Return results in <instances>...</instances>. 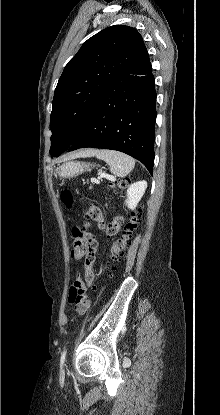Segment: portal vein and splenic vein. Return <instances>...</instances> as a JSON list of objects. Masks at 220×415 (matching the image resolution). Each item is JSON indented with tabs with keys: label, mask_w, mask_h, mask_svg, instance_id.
Masks as SVG:
<instances>
[{
	"label": "portal vein and splenic vein",
	"mask_w": 220,
	"mask_h": 415,
	"mask_svg": "<svg viewBox=\"0 0 220 415\" xmlns=\"http://www.w3.org/2000/svg\"><path fill=\"white\" fill-rule=\"evenodd\" d=\"M100 177H101V178L114 179V178H113V176H110V175L105 174V173L101 174V175H100Z\"/></svg>",
	"instance_id": "18ae733b"
}]
</instances>
